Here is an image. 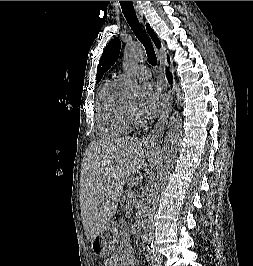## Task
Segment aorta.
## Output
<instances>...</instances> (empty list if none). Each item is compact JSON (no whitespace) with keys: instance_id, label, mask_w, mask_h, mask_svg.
Here are the masks:
<instances>
[{"instance_id":"aorta-1","label":"aorta","mask_w":253,"mask_h":266,"mask_svg":"<svg viewBox=\"0 0 253 266\" xmlns=\"http://www.w3.org/2000/svg\"><path fill=\"white\" fill-rule=\"evenodd\" d=\"M143 57V48L140 44H129L124 50V67L127 69L137 63ZM124 93L127 97H138L140 85L126 79L124 82ZM182 135V117L179 112H173L169 119L168 131L163 146L155 163V170L147 193V201L142 208L140 217L141 238L145 244L153 242V218L160 199L161 192L168 180L173 160Z\"/></svg>"}]
</instances>
